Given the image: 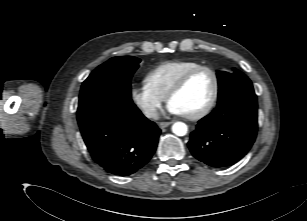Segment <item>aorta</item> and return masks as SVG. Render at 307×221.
<instances>
[{"label":"aorta","instance_id":"1","mask_svg":"<svg viewBox=\"0 0 307 221\" xmlns=\"http://www.w3.org/2000/svg\"><path fill=\"white\" fill-rule=\"evenodd\" d=\"M188 127L183 122H176L172 125V132L177 136H184L187 134Z\"/></svg>","mask_w":307,"mask_h":221}]
</instances>
